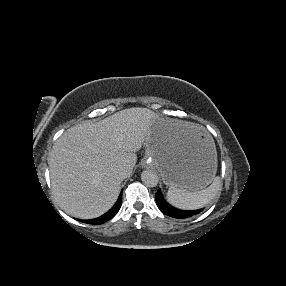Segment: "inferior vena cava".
Segmentation results:
<instances>
[{
  "instance_id": "inferior-vena-cava-1",
  "label": "inferior vena cava",
  "mask_w": 286,
  "mask_h": 286,
  "mask_svg": "<svg viewBox=\"0 0 286 286\" xmlns=\"http://www.w3.org/2000/svg\"><path fill=\"white\" fill-rule=\"evenodd\" d=\"M114 172L121 178H126L127 176V169L123 165L116 166Z\"/></svg>"
}]
</instances>
